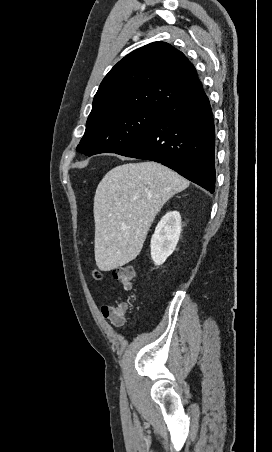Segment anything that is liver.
I'll return each instance as SVG.
<instances>
[{
  "label": "liver",
  "mask_w": 272,
  "mask_h": 452,
  "mask_svg": "<svg viewBox=\"0 0 272 452\" xmlns=\"http://www.w3.org/2000/svg\"><path fill=\"white\" fill-rule=\"evenodd\" d=\"M189 181L156 162L116 166L94 197L95 261L101 271L119 268L141 252L155 216Z\"/></svg>",
  "instance_id": "obj_1"
}]
</instances>
